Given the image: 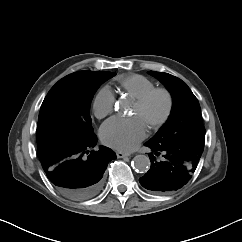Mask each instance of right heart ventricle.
Masks as SVG:
<instances>
[{
  "mask_svg": "<svg viewBox=\"0 0 242 242\" xmlns=\"http://www.w3.org/2000/svg\"><path fill=\"white\" fill-rule=\"evenodd\" d=\"M117 83L124 92L135 100L156 86L152 80L140 74L122 75L118 77Z\"/></svg>",
  "mask_w": 242,
  "mask_h": 242,
  "instance_id": "right-heart-ventricle-1",
  "label": "right heart ventricle"
}]
</instances>
